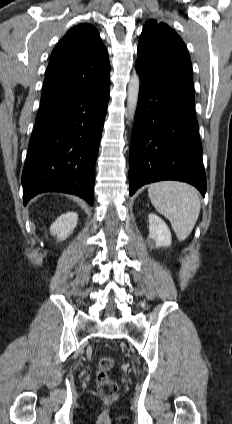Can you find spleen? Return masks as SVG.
I'll list each match as a JSON object with an SVG mask.
<instances>
[{
  "label": "spleen",
  "instance_id": "3e777b00",
  "mask_svg": "<svg viewBox=\"0 0 232 424\" xmlns=\"http://www.w3.org/2000/svg\"><path fill=\"white\" fill-rule=\"evenodd\" d=\"M148 195L155 209L169 219L178 240H185L200 213L197 190L187 183L161 181L149 186Z\"/></svg>",
  "mask_w": 232,
  "mask_h": 424
}]
</instances>
